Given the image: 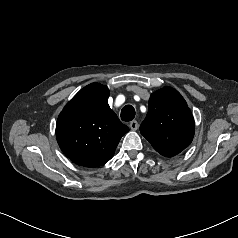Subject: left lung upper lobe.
<instances>
[{
  "label": "left lung upper lobe",
  "mask_w": 238,
  "mask_h": 238,
  "mask_svg": "<svg viewBox=\"0 0 238 238\" xmlns=\"http://www.w3.org/2000/svg\"><path fill=\"white\" fill-rule=\"evenodd\" d=\"M194 119L184 98L171 87L151 94L141 134L165 157L183 151L192 142Z\"/></svg>",
  "instance_id": "1"
}]
</instances>
